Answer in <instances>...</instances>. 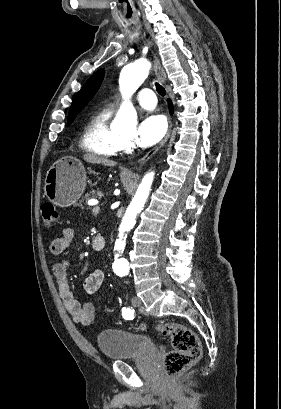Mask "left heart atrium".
Returning <instances> with one entry per match:
<instances>
[{
	"instance_id": "39dd6f15",
	"label": "left heart atrium",
	"mask_w": 281,
	"mask_h": 409,
	"mask_svg": "<svg viewBox=\"0 0 281 409\" xmlns=\"http://www.w3.org/2000/svg\"><path fill=\"white\" fill-rule=\"evenodd\" d=\"M166 128V120L162 115L151 114L139 125L134 140L143 148L151 147L163 138Z\"/></svg>"
}]
</instances>
